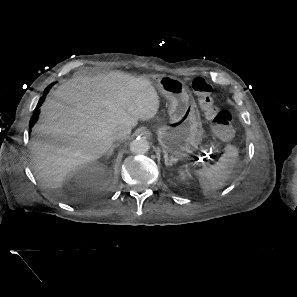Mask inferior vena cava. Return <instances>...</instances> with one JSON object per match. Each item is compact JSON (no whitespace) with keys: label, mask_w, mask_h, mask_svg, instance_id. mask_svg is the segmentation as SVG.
Listing matches in <instances>:
<instances>
[{"label":"inferior vena cava","mask_w":297,"mask_h":297,"mask_svg":"<svg viewBox=\"0 0 297 297\" xmlns=\"http://www.w3.org/2000/svg\"><path fill=\"white\" fill-rule=\"evenodd\" d=\"M131 133V129L129 128H118L115 130L113 134L114 141H124Z\"/></svg>","instance_id":"1"}]
</instances>
